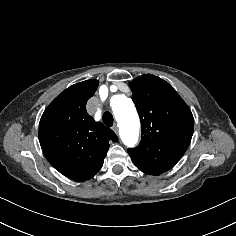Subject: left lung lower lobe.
Wrapping results in <instances>:
<instances>
[{"instance_id":"1","label":"left lung lower lobe","mask_w":236,"mask_h":236,"mask_svg":"<svg viewBox=\"0 0 236 236\" xmlns=\"http://www.w3.org/2000/svg\"><path fill=\"white\" fill-rule=\"evenodd\" d=\"M147 174H150V175H159V174H157V173H147Z\"/></svg>"}]
</instances>
